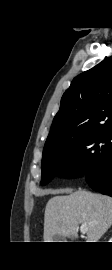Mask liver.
Wrapping results in <instances>:
<instances>
[{
	"label": "liver",
	"mask_w": 112,
	"mask_h": 270,
	"mask_svg": "<svg viewBox=\"0 0 112 270\" xmlns=\"http://www.w3.org/2000/svg\"><path fill=\"white\" fill-rule=\"evenodd\" d=\"M53 194L70 193L52 197L45 208L44 242H54L55 235L78 237L79 224L86 223L87 242H98L112 225V197L63 189Z\"/></svg>",
	"instance_id": "1"
}]
</instances>
